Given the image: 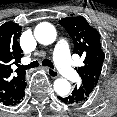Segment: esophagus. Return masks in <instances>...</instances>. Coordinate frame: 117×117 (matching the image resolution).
<instances>
[{"label": "esophagus", "instance_id": "1", "mask_svg": "<svg viewBox=\"0 0 117 117\" xmlns=\"http://www.w3.org/2000/svg\"><path fill=\"white\" fill-rule=\"evenodd\" d=\"M47 72L51 78H57L58 77V72L52 68L46 67Z\"/></svg>", "mask_w": 117, "mask_h": 117}]
</instances>
